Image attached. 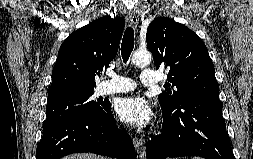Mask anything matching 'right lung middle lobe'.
Masks as SVG:
<instances>
[{
    "label": "right lung middle lobe",
    "mask_w": 253,
    "mask_h": 159,
    "mask_svg": "<svg viewBox=\"0 0 253 159\" xmlns=\"http://www.w3.org/2000/svg\"><path fill=\"white\" fill-rule=\"evenodd\" d=\"M93 91L64 95L48 100L47 119L43 132L55 128L64 121L80 114H97L102 111L107 101H93Z\"/></svg>",
    "instance_id": "1"
}]
</instances>
